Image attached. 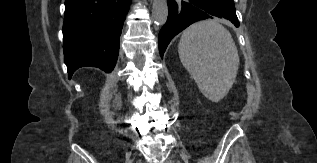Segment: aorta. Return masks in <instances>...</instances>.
<instances>
[{
  "label": "aorta",
  "mask_w": 317,
  "mask_h": 163,
  "mask_svg": "<svg viewBox=\"0 0 317 163\" xmlns=\"http://www.w3.org/2000/svg\"><path fill=\"white\" fill-rule=\"evenodd\" d=\"M168 18L167 0H153L152 20L156 25L162 26Z\"/></svg>",
  "instance_id": "aorta-1"
}]
</instances>
